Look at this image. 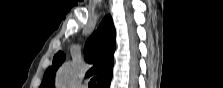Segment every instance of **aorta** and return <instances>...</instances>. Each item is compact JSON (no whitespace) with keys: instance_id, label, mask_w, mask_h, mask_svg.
Returning a JSON list of instances; mask_svg holds the SVG:
<instances>
[{"instance_id":"762f6f07","label":"aorta","mask_w":223,"mask_h":88,"mask_svg":"<svg viewBox=\"0 0 223 88\" xmlns=\"http://www.w3.org/2000/svg\"><path fill=\"white\" fill-rule=\"evenodd\" d=\"M73 68L70 63H65L59 70L57 75V86L60 88H68L72 81Z\"/></svg>"}]
</instances>
